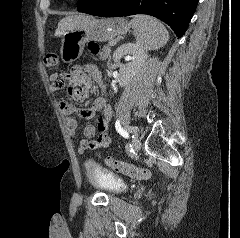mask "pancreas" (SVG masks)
I'll return each instance as SVG.
<instances>
[{
    "label": "pancreas",
    "instance_id": "cf45deb5",
    "mask_svg": "<svg viewBox=\"0 0 240 238\" xmlns=\"http://www.w3.org/2000/svg\"><path fill=\"white\" fill-rule=\"evenodd\" d=\"M111 42L117 43L116 40H111L108 44H106L103 47L102 52L99 54L101 60H106L108 57H110V53H111V45H110V43Z\"/></svg>",
    "mask_w": 240,
    "mask_h": 238
}]
</instances>
